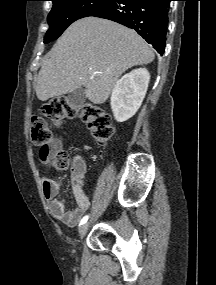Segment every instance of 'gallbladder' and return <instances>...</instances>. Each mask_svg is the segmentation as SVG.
Returning <instances> with one entry per match:
<instances>
[{
  "mask_svg": "<svg viewBox=\"0 0 216 285\" xmlns=\"http://www.w3.org/2000/svg\"><path fill=\"white\" fill-rule=\"evenodd\" d=\"M85 102V92L83 88L71 92L67 97V103L72 108L82 107Z\"/></svg>",
  "mask_w": 216,
  "mask_h": 285,
  "instance_id": "bac80fb5",
  "label": "gallbladder"
}]
</instances>
